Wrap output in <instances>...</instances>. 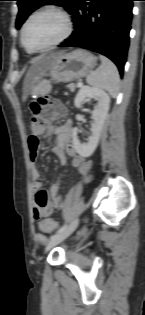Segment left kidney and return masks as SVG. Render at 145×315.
<instances>
[{"label":"left kidney","mask_w":145,"mask_h":315,"mask_svg":"<svg viewBox=\"0 0 145 315\" xmlns=\"http://www.w3.org/2000/svg\"><path fill=\"white\" fill-rule=\"evenodd\" d=\"M93 98L97 101V105L94 107V110L91 112L93 119V123L91 126V135L88 138L87 143H81L78 139V129L74 128L72 131V138H73V146L76 152L82 157H89L93 154L95 149L97 148L99 138L101 135V131L104 125V121L106 119L109 104H110V97L107 93H105L101 89L83 86L77 93L74 105L76 108H80L82 102L85 98Z\"/></svg>","instance_id":"left-kidney-1"}]
</instances>
